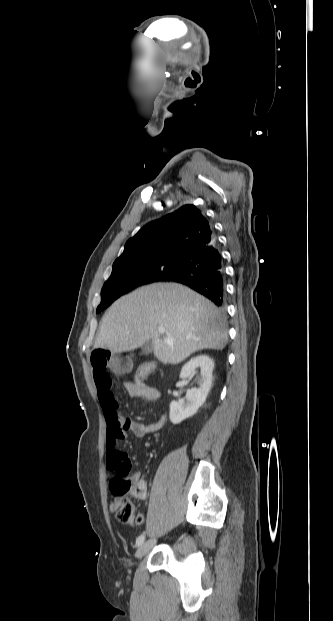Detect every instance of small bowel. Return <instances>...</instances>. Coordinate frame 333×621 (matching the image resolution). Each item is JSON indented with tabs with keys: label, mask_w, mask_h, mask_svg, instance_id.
Segmentation results:
<instances>
[{
	"label": "small bowel",
	"mask_w": 333,
	"mask_h": 621,
	"mask_svg": "<svg viewBox=\"0 0 333 621\" xmlns=\"http://www.w3.org/2000/svg\"><path fill=\"white\" fill-rule=\"evenodd\" d=\"M91 366L98 398L107 425V467L111 471L115 468H128L130 470V460L127 454L118 448L119 443L127 438L129 432L135 437L143 438L150 433L158 431L163 427L165 418L161 416L157 422L152 424H143L124 418L119 411L118 402L113 394L112 379L109 375L110 370L117 371L121 369V360L107 349L96 348L91 353ZM124 388L130 396L146 401H156L160 397L159 392L144 381H139L133 386L125 382ZM131 479L136 487L131 494L138 499H144L147 494L146 481L141 478L139 473L132 475Z\"/></svg>",
	"instance_id": "obj_1"
}]
</instances>
